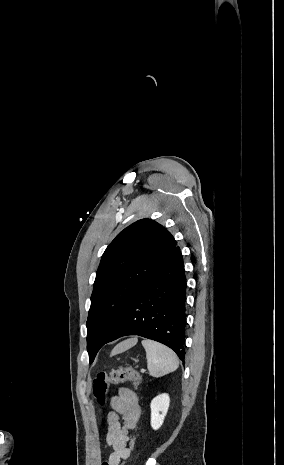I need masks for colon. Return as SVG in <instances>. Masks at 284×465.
<instances>
[{
  "label": "colon",
  "instance_id": "colon-1",
  "mask_svg": "<svg viewBox=\"0 0 284 465\" xmlns=\"http://www.w3.org/2000/svg\"><path fill=\"white\" fill-rule=\"evenodd\" d=\"M131 380L135 384L140 381V374L132 367L120 368L113 370L110 373H100L96 376L92 386V396L94 400L100 405L104 406L108 394L109 384H117L120 382ZM134 440H130L129 446L133 447ZM102 465H111L110 462H102ZM119 465H124L120 462Z\"/></svg>",
  "mask_w": 284,
  "mask_h": 465
}]
</instances>
